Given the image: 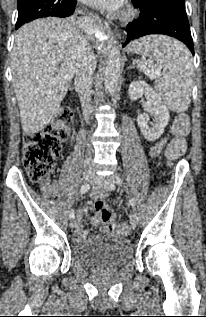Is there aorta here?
Masks as SVG:
<instances>
[{
  "mask_svg": "<svg viewBox=\"0 0 206 317\" xmlns=\"http://www.w3.org/2000/svg\"><path fill=\"white\" fill-rule=\"evenodd\" d=\"M91 31L95 30L93 25H89ZM121 74L120 51L118 47H113L108 56L104 72V81L108 93L113 96L118 87Z\"/></svg>",
  "mask_w": 206,
  "mask_h": 317,
  "instance_id": "762f6f07",
  "label": "aorta"
}]
</instances>
